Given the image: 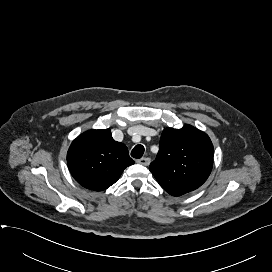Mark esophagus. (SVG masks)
I'll use <instances>...</instances> for the list:
<instances>
[{"mask_svg": "<svg viewBox=\"0 0 272 272\" xmlns=\"http://www.w3.org/2000/svg\"><path fill=\"white\" fill-rule=\"evenodd\" d=\"M150 162H151L150 158H147V157H143V158L137 160V163L144 165V166H148L150 164Z\"/></svg>", "mask_w": 272, "mask_h": 272, "instance_id": "esophagus-1", "label": "esophagus"}]
</instances>
